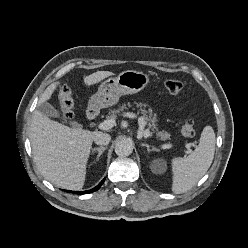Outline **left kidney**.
Instances as JSON below:
<instances>
[{"instance_id": "left-kidney-1", "label": "left kidney", "mask_w": 248, "mask_h": 248, "mask_svg": "<svg viewBox=\"0 0 248 248\" xmlns=\"http://www.w3.org/2000/svg\"><path fill=\"white\" fill-rule=\"evenodd\" d=\"M159 163H160V160L153 161V163L151 165V169H152L153 172L157 171V166H158Z\"/></svg>"}]
</instances>
